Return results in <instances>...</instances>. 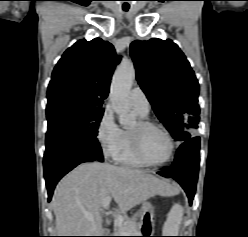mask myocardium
Instances as JSON below:
<instances>
[{"label":"myocardium","instance_id":"myocardium-1","mask_svg":"<svg viewBox=\"0 0 248 237\" xmlns=\"http://www.w3.org/2000/svg\"><path fill=\"white\" fill-rule=\"evenodd\" d=\"M149 128H154L159 130L160 132H162L165 137L168 140L169 143V154L168 156L159 162H154L149 160L145 154L143 153L142 147H141V133L143 131H145L146 129ZM129 138H130V142H131V146L134 152V155L141 161L143 162L145 165L147 166H152V167H161L166 165L169 161H171V159L174 156L175 153V143L174 140L171 136V134L169 133V131L162 126L159 123L147 120V119H140L137 122V127L134 130H129Z\"/></svg>","mask_w":248,"mask_h":237}]
</instances>
